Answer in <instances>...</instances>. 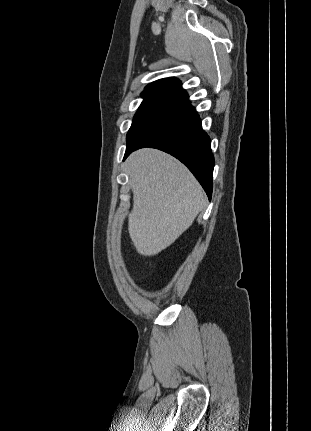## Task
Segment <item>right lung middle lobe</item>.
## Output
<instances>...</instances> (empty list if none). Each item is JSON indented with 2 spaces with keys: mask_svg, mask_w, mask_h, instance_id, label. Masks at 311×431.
<instances>
[{
  "mask_svg": "<svg viewBox=\"0 0 311 431\" xmlns=\"http://www.w3.org/2000/svg\"><path fill=\"white\" fill-rule=\"evenodd\" d=\"M141 97L144 100L137 110L127 133V144L146 124L157 117L162 111L181 100L178 96L156 91H143Z\"/></svg>",
  "mask_w": 311,
  "mask_h": 431,
  "instance_id": "right-lung-middle-lobe-1",
  "label": "right lung middle lobe"
}]
</instances>
